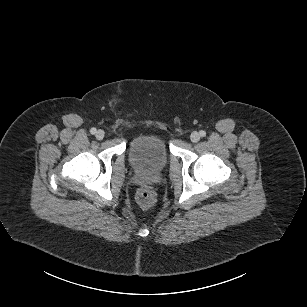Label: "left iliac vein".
Segmentation results:
<instances>
[{
	"mask_svg": "<svg viewBox=\"0 0 307 307\" xmlns=\"http://www.w3.org/2000/svg\"><path fill=\"white\" fill-rule=\"evenodd\" d=\"M190 139L193 143H196L200 140V134L196 131L192 132L190 135Z\"/></svg>",
	"mask_w": 307,
	"mask_h": 307,
	"instance_id": "obj_1",
	"label": "left iliac vein"
}]
</instances>
